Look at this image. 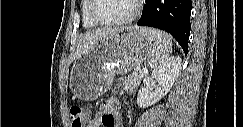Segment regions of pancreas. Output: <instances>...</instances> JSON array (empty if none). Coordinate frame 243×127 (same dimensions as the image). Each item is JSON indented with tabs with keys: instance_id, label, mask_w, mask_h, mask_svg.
Wrapping results in <instances>:
<instances>
[{
	"instance_id": "cf45deb5",
	"label": "pancreas",
	"mask_w": 243,
	"mask_h": 127,
	"mask_svg": "<svg viewBox=\"0 0 243 127\" xmlns=\"http://www.w3.org/2000/svg\"><path fill=\"white\" fill-rule=\"evenodd\" d=\"M143 77L144 74L141 70H135L129 76L122 78V80L124 81L125 88L129 91H133L137 88Z\"/></svg>"
}]
</instances>
